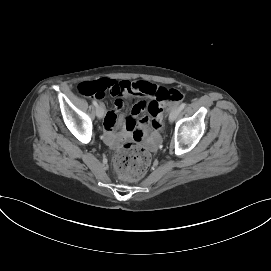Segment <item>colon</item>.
<instances>
[{"instance_id":"1","label":"colon","mask_w":271,"mask_h":271,"mask_svg":"<svg viewBox=\"0 0 271 271\" xmlns=\"http://www.w3.org/2000/svg\"><path fill=\"white\" fill-rule=\"evenodd\" d=\"M78 90L84 96L100 98L109 90V84L104 79L85 81L79 84ZM157 96L160 100L172 104L179 103L184 98L183 94L176 89H162ZM153 125L155 128L159 127L157 123ZM150 161V153L145 148L133 143H126L114 158V169L121 178L136 181L145 175Z\"/></svg>"}]
</instances>
